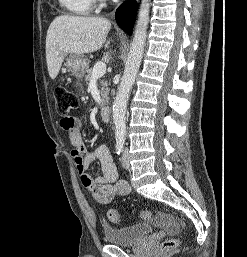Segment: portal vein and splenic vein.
Returning <instances> with one entry per match:
<instances>
[{
	"label": "portal vein and splenic vein",
	"instance_id": "18ae733b",
	"mask_svg": "<svg viewBox=\"0 0 247 257\" xmlns=\"http://www.w3.org/2000/svg\"><path fill=\"white\" fill-rule=\"evenodd\" d=\"M106 73V65L103 62H97L92 70V80L102 77Z\"/></svg>",
	"mask_w": 247,
	"mask_h": 257
}]
</instances>
